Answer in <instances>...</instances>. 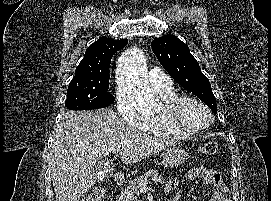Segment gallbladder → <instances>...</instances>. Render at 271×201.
<instances>
[{
	"label": "gallbladder",
	"mask_w": 271,
	"mask_h": 201,
	"mask_svg": "<svg viewBox=\"0 0 271 201\" xmlns=\"http://www.w3.org/2000/svg\"><path fill=\"white\" fill-rule=\"evenodd\" d=\"M96 178L98 182L106 181L112 176V163L100 162L96 166Z\"/></svg>",
	"instance_id": "gallbladder-1"
}]
</instances>
